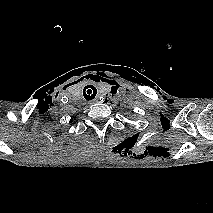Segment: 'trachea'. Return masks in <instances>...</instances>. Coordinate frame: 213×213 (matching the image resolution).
Wrapping results in <instances>:
<instances>
[{
	"mask_svg": "<svg viewBox=\"0 0 213 213\" xmlns=\"http://www.w3.org/2000/svg\"><path fill=\"white\" fill-rule=\"evenodd\" d=\"M88 88H91V89H88ZM96 94H97V90L93 86L85 87L83 90V95H84L85 99H87V100L94 99Z\"/></svg>",
	"mask_w": 213,
	"mask_h": 213,
	"instance_id": "obj_1",
	"label": "trachea"
}]
</instances>
